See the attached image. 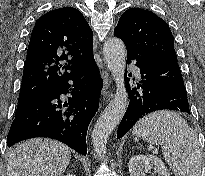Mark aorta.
Returning a JSON list of instances; mask_svg holds the SVG:
<instances>
[{
  "instance_id": "1",
  "label": "aorta",
  "mask_w": 205,
  "mask_h": 176,
  "mask_svg": "<svg viewBox=\"0 0 205 176\" xmlns=\"http://www.w3.org/2000/svg\"><path fill=\"white\" fill-rule=\"evenodd\" d=\"M103 54L107 67L116 82L117 90L114 98L97 120L92 132L94 150L100 157L106 154L109 135L120 123L128 106L127 92L124 84L126 48L123 41L115 37L108 39L104 43Z\"/></svg>"
}]
</instances>
